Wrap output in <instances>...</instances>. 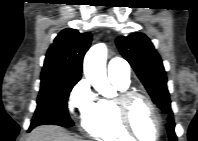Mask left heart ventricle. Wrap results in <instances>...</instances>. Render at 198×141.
<instances>
[{
  "mask_svg": "<svg viewBox=\"0 0 198 141\" xmlns=\"http://www.w3.org/2000/svg\"><path fill=\"white\" fill-rule=\"evenodd\" d=\"M132 125L138 136L144 141H153L157 135L154 116L147 103L137 100L131 109Z\"/></svg>",
  "mask_w": 198,
  "mask_h": 141,
  "instance_id": "b2bd125f",
  "label": "left heart ventricle"
}]
</instances>
